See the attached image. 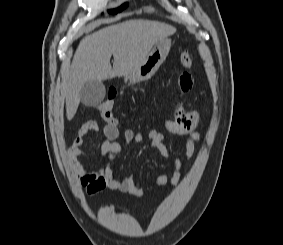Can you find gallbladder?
Masks as SVG:
<instances>
[{"label":"gallbladder","instance_id":"bac80fb5","mask_svg":"<svg viewBox=\"0 0 283 245\" xmlns=\"http://www.w3.org/2000/svg\"><path fill=\"white\" fill-rule=\"evenodd\" d=\"M105 93V86L102 82L88 81L81 87L80 101L85 106L94 107L103 101Z\"/></svg>","mask_w":283,"mask_h":245}]
</instances>
